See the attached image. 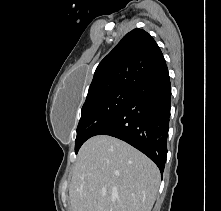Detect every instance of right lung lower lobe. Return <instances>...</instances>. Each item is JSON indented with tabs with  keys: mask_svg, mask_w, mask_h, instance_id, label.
Listing matches in <instances>:
<instances>
[{
	"mask_svg": "<svg viewBox=\"0 0 221 211\" xmlns=\"http://www.w3.org/2000/svg\"><path fill=\"white\" fill-rule=\"evenodd\" d=\"M171 107L168 72L136 85L123 107L95 135L119 138L147 155L164 171Z\"/></svg>",
	"mask_w": 221,
	"mask_h": 211,
	"instance_id": "right-lung-lower-lobe-1",
	"label": "right lung lower lobe"
}]
</instances>
